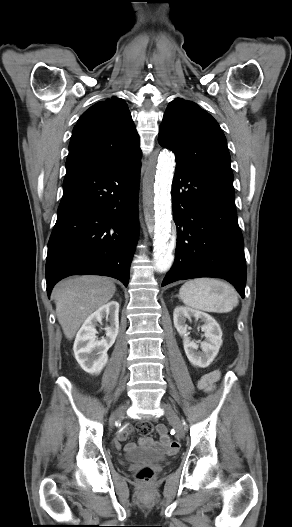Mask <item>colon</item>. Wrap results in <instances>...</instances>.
Listing matches in <instances>:
<instances>
[{
	"instance_id": "5ec220e1",
	"label": "colon",
	"mask_w": 292,
	"mask_h": 527,
	"mask_svg": "<svg viewBox=\"0 0 292 527\" xmlns=\"http://www.w3.org/2000/svg\"><path fill=\"white\" fill-rule=\"evenodd\" d=\"M152 429L153 426L150 422H141L137 426L138 432L142 435L151 433ZM137 478L142 482H149L153 478V471L149 467L141 468L137 472Z\"/></svg>"
}]
</instances>
